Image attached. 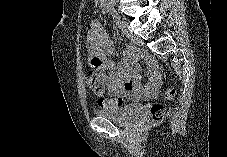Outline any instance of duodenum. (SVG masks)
<instances>
[{"label": "duodenum", "instance_id": "duodenum-1", "mask_svg": "<svg viewBox=\"0 0 227 157\" xmlns=\"http://www.w3.org/2000/svg\"><path fill=\"white\" fill-rule=\"evenodd\" d=\"M111 17L114 22H117L119 20V17L114 10L111 11Z\"/></svg>", "mask_w": 227, "mask_h": 157}]
</instances>
